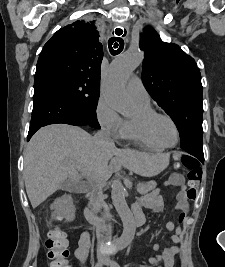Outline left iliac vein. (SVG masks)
Wrapping results in <instances>:
<instances>
[{"label":"left iliac vein","instance_id":"left-iliac-vein-1","mask_svg":"<svg viewBox=\"0 0 225 267\" xmlns=\"http://www.w3.org/2000/svg\"><path fill=\"white\" fill-rule=\"evenodd\" d=\"M102 263L108 267H113V261L111 259H109L108 257H104L102 259Z\"/></svg>","mask_w":225,"mask_h":267}]
</instances>
